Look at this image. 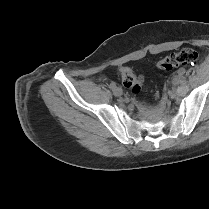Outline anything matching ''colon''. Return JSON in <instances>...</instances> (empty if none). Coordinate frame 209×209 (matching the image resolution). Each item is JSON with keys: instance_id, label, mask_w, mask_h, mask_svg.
Instances as JSON below:
<instances>
[{"instance_id": "1", "label": "colon", "mask_w": 209, "mask_h": 209, "mask_svg": "<svg viewBox=\"0 0 209 209\" xmlns=\"http://www.w3.org/2000/svg\"><path fill=\"white\" fill-rule=\"evenodd\" d=\"M197 59V53L191 48H184L160 59L156 66L160 70H171L181 65L192 64ZM119 76L124 87L132 93H139L142 88V78L129 67H121Z\"/></svg>"}]
</instances>
